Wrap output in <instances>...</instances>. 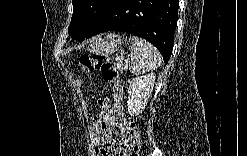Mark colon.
<instances>
[{"instance_id": "5ec220e1", "label": "colon", "mask_w": 247, "mask_h": 156, "mask_svg": "<svg viewBox=\"0 0 247 156\" xmlns=\"http://www.w3.org/2000/svg\"><path fill=\"white\" fill-rule=\"evenodd\" d=\"M79 66L83 73L99 71L105 81L113 84V87L120 85V74L112 60L104 54L82 55L79 59ZM128 132L131 137L130 148L127 155L136 156L140 149V134L134 122L128 124Z\"/></svg>"}]
</instances>
